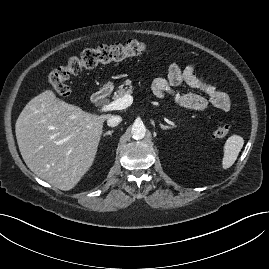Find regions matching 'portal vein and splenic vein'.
<instances>
[{"label": "portal vein and splenic vein", "mask_w": 269, "mask_h": 269, "mask_svg": "<svg viewBox=\"0 0 269 269\" xmlns=\"http://www.w3.org/2000/svg\"><path fill=\"white\" fill-rule=\"evenodd\" d=\"M133 103V96L130 94H125L122 98H118L104 106L101 107V112L114 111L126 109Z\"/></svg>", "instance_id": "obj_1"}]
</instances>
